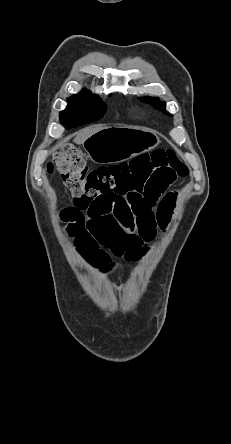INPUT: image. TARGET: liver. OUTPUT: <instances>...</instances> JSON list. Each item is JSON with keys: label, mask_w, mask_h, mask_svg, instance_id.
I'll return each instance as SVG.
<instances>
[{"label": "liver", "mask_w": 231, "mask_h": 444, "mask_svg": "<svg viewBox=\"0 0 231 444\" xmlns=\"http://www.w3.org/2000/svg\"><path fill=\"white\" fill-rule=\"evenodd\" d=\"M104 129L103 126L98 125V126H90L87 128L82 129L81 131L76 133V137L74 139V142L77 144H83L84 141L90 137L91 135H93L94 133L100 131Z\"/></svg>", "instance_id": "liver-1"}]
</instances>
